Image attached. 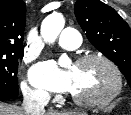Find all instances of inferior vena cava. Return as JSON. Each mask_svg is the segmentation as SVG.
I'll use <instances>...</instances> for the list:
<instances>
[{"label": "inferior vena cava", "instance_id": "inferior-vena-cava-1", "mask_svg": "<svg viewBox=\"0 0 131 115\" xmlns=\"http://www.w3.org/2000/svg\"><path fill=\"white\" fill-rule=\"evenodd\" d=\"M23 109L26 115H43L44 107L49 102V97L45 94L25 92L23 94Z\"/></svg>", "mask_w": 131, "mask_h": 115}]
</instances>
